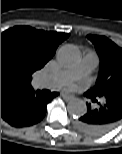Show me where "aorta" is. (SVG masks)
Returning <instances> with one entry per match:
<instances>
[{
	"label": "aorta",
	"mask_w": 122,
	"mask_h": 154,
	"mask_svg": "<svg viewBox=\"0 0 122 154\" xmlns=\"http://www.w3.org/2000/svg\"><path fill=\"white\" fill-rule=\"evenodd\" d=\"M57 60L63 66H73L79 60V51L73 45L62 46L57 52ZM67 110L73 116H81L86 113L87 106L83 100L74 98L68 102Z\"/></svg>",
	"instance_id": "aorta-1"
}]
</instances>
